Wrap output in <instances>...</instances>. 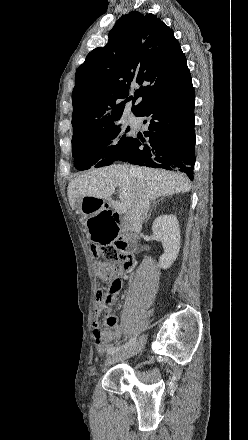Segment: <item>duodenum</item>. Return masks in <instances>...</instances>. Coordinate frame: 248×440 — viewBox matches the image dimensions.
<instances>
[{
    "mask_svg": "<svg viewBox=\"0 0 248 440\" xmlns=\"http://www.w3.org/2000/svg\"><path fill=\"white\" fill-rule=\"evenodd\" d=\"M106 207H108V204H106ZM114 223L116 224L117 233H118V226L121 223V216L118 213L113 214ZM117 245L120 247L121 250L127 252V253H134L137 248V242L136 238L132 234H126L122 236H117Z\"/></svg>",
    "mask_w": 248,
    "mask_h": 440,
    "instance_id": "410a0bca",
    "label": "duodenum"
}]
</instances>
